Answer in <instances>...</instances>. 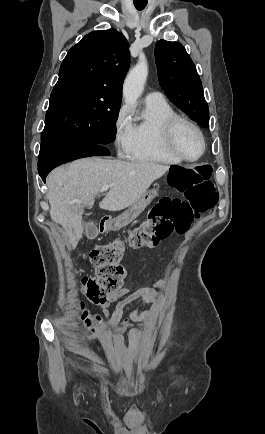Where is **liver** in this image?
<instances>
[{"mask_svg":"<svg viewBox=\"0 0 265 434\" xmlns=\"http://www.w3.org/2000/svg\"><path fill=\"white\" fill-rule=\"evenodd\" d=\"M169 168L170 166L148 162H122L102 158H83L65 168H56L46 180L50 216L53 222L66 230V236L70 238L73 248H76L84 230V208H92L94 198L102 186H110V190L100 202V208L117 212L133 206ZM72 200H82V204H69Z\"/></svg>","mask_w":265,"mask_h":434,"instance_id":"liver-1","label":"liver"}]
</instances>
